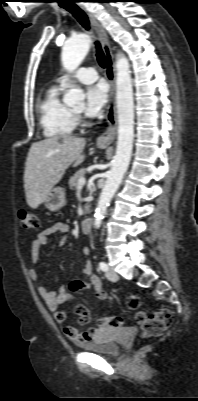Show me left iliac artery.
<instances>
[{
	"label": "left iliac artery",
	"mask_w": 198,
	"mask_h": 401,
	"mask_svg": "<svg viewBox=\"0 0 198 401\" xmlns=\"http://www.w3.org/2000/svg\"><path fill=\"white\" fill-rule=\"evenodd\" d=\"M99 268H100L102 271H107V270H108V265H107L105 262H100V263H99Z\"/></svg>",
	"instance_id": "left-iliac-artery-1"
}]
</instances>
